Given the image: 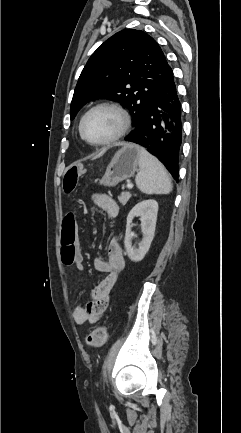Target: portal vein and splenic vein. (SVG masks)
I'll list each match as a JSON object with an SVG mask.
<instances>
[{
    "mask_svg": "<svg viewBox=\"0 0 241 433\" xmlns=\"http://www.w3.org/2000/svg\"><path fill=\"white\" fill-rule=\"evenodd\" d=\"M127 188H128V189H132V188H133V184L128 183V184H127Z\"/></svg>",
    "mask_w": 241,
    "mask_h": 433,
    "instance_id": "18ae733b",
    "label": "portal vein and splenic vein"
}]
</instances>
